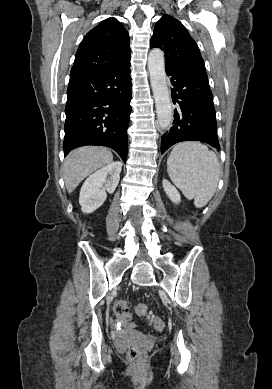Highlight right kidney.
<instances>
[{
    "label": "right kidney",
    "instance_id": "obj_1",
    "mask_svg": "<svg viewBox=\"0 0 272 389\" xmlns=\"http://www.w3.org/2000/svg\"><path fill=\"white\" fill-rule=\"evenodd\" d=\"M122 163L112 162L92 175L84 182L79 197L83 213L89 214L97 210L106 200L107 193H113L119 183ZM110 178L107 179V176Z\"/></svg>",
    "mask_w": 272,
    "mask_h": 389
}]
</instances>
